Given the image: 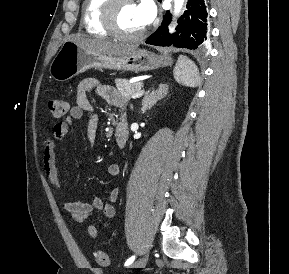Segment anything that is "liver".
Segmentation results:
<instances>
[{
	"label": "liver",
	"instance_id": "1",
	"mask_svg": "<svg viewBox=\"0 0 289 274\" xmlns=\"http://www.w3.org/2000/svg\"><path fill=\"white\" fill-rule=\"evenodd\" d=\"M68 40L76 42L79 46L91 52L101 53L109 56H123L136 50L135 45L113 43L101 39H91L79 36H70Z\"/></svg>",
	"mask_w": 289,
	"mask_h": 274
}]
</instances>
